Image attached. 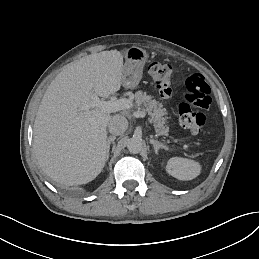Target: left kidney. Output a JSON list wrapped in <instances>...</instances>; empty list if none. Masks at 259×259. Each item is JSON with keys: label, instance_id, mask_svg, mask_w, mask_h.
Listing matches in <instances>:
<instances>
[{"label": "left kidney", "instance_id": "5707ae66", "mask_svg": "<svg viewBox=\"0 0 259 259\" xmlns=\"http://www.w3.org/2000/svg\"><path fill=\"white\" fill-rule=\"evenodd\" d=\"M199 171L197 163L181 158H172L167 165V172L179 180H191L198 176Z\"/></svg>", "mask_w": 259, "mask_h": 259}]
</instances>
